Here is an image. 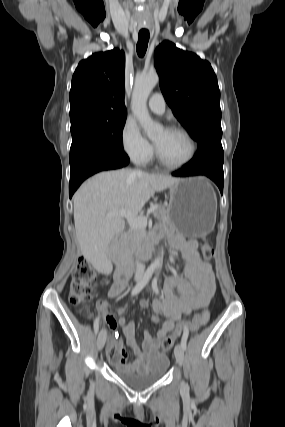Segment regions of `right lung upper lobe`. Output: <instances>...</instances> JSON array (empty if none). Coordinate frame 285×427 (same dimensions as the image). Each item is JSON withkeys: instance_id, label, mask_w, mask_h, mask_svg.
Segmentation results:
<instances>
[{"instance_id": "right-lung-upper-lobe-1", "label": "right lung upper lobe", "mask_w": 285, "mask_h": 427, "mask_svg": "<svg viewBox=\"0 0 285 427\" xmlns=\"http://www.w3.org/2000/svg\"><path fill=\"white\" fill-rule=\"evenodd\" d=\"M125 54L94 53L76 68L70 90V116L83 112L127 113L124 105Z\"/></svg>"}]
</instances>
